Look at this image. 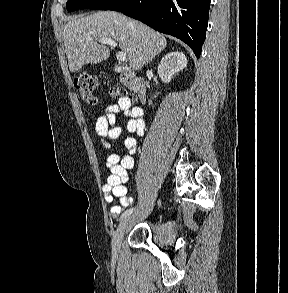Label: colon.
<instances>
[{
	"label": "colon",
	"instance_id": "obj_1",
	"mask_svg": "<svg viewBox=\"0 0 288 293\" xmlns=\"http://www.w3.org/2000/svg\"><path fill=\"white\" fill-rule=\"evenodd\" d=\"M75 88L80 97L91 104L98 101V93L100 84L98 79L90 74H83L78 76L74 82ZM109 94L115 98L131 97L130 93L124 87L111 88Z\"/></svg>",
	"mask_w": 288,
	"mask_h": 293
}]
</instances>
